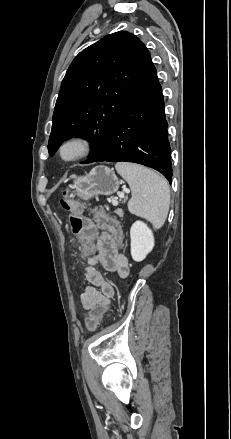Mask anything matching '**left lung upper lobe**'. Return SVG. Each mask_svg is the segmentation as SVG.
Returning <instances> with one entry per match:
<instances>
[{"mask_svg": "<svg viewBox=\"0 0 231 439\" xmlns=\"http://www.w3.org/2000/svg\"><path fill=\"white\" fill-rule=\"evenodd\" d=\"M151 64L150 53L133 34L115 32L72 61L53 113L49 155L73 136L91 143V162L100 152L125 104Z\"/></svg>", "mask_w": 231, "mask_h": 439, "instance_id": "left-lung-upper-lobe-1", "label": "left lung upper lobe"}]
</instances>
